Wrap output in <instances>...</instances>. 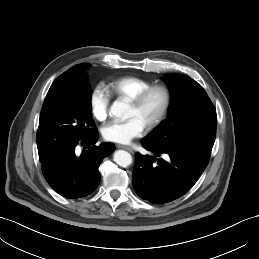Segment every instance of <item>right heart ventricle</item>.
Instances as JSON below:
<instances>
[{"label":"right heart ventricle","instance_id":"e07e8e85","mask_svg":"<svg viewBox=\"0 0 259 259\" xmlns=\"http://www.w3.org/2000/svg\"><path fill=\"white\" fill-rule=\"evenodd\" d=\"M152 83L136 76H124L111 81L108 85L111 94L116 98L130 100Z\"/></svg>","mask_w":259,"mask_h":259}]
</instances>
